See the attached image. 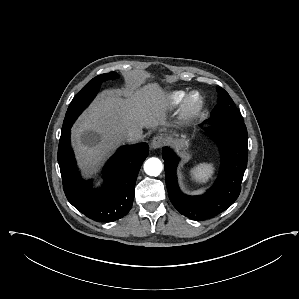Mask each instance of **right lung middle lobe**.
Listing matches in <instances>:
<instances>
[{
    "label": "right lung middle lobe",
    "instance_id": "obj_1",
    "mask_svg": "<svg viewBox=\"0 0 299 299\" xmlns=\"http://www.w3.org/2000/svg\"><path fill=\"white\" fill-rule=\"evenodd\" d=\"M116 77L118 76L114 72L101 74L93 78L82 88V90L74 97L66 112L61 135L65 134V132L70 130L71 126L73 125L74 121L77 119L79 114L94 99L100 88L101 83L108 79H114Z\"/></svg>",
    "mask_w": 299,
    "mask_h": 299
}]
</instances>
